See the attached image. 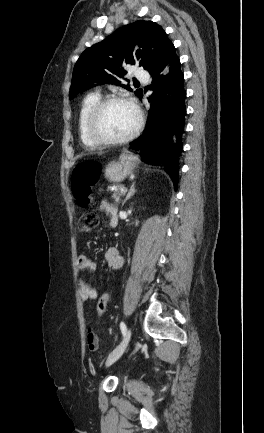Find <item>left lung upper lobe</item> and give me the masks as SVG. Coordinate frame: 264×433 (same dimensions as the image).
I'll return each mask as SVG.
<instances>
[{"instance_id": "obj_1", "label": "left lung upper lobe", "mask_w": 264, "mask_h": 433, "mask_svg": "<svg viewBox=\"0 0 264 433\" xmlns=\"http://www.w3.org/2000/svg\"><path fill=\"white\" fill-rule=\"evenodd\" d=\"M175 50L161 26L152 21L139 20L117 29L103 41L85 50L75 64L70 99L97 84L120 85L124 64H135L151 72ZM131 91L128 85H121ZM134 94L140 98L142 89Z\"/></svg>"}]
</instances>
